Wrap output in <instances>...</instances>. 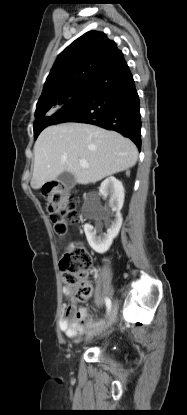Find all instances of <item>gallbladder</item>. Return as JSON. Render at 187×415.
Here are the masks:
<instances>
[{"mask_svg":"<svg viewBox=\"0 0 187 415\" xmlns=\"http://www.w3.org/2000/svg\"><path fill=\"white\" fill-rule=\"evenodd\" d=\"M57 180H58V182L62 183L64 186H66L68 188H72L77 184L74 175L70 172L61 173L58 176Z\"/></svg>","mask_w":187,"mask_h":415,"instance_id":"obj_1","label":"gallbladder"}]
</instances>
